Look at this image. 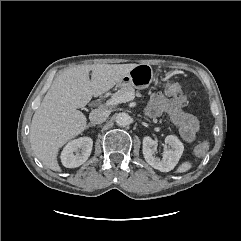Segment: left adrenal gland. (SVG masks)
Instances as JSON below:
<instances>
[{
	"label": "left adrenal gland",
	"instance_id": "obj_1",
	"mask_svg": "<svg viewBox=\"0 0 241 241\" xmlns=\"http://www.w3.org/2000/svg\"><path fill=\"white\" fill-rule=\"evenodd\" d=\"M145 120L150 121L148 118L144 117Z\"/></svg>",
	"mask_w": 241,
	"mask_h": 241
}]
</instances>
